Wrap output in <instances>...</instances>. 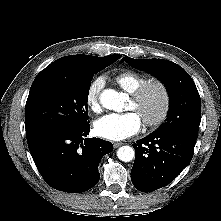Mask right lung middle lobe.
I'll return each mask as SVG.
<instances>
[{"instance_id": "right-lung-middle-lobe-1", "label": "right lung middle lobe", "mask_w": 221, "mask_h": 221, "mask_svg": "<svg viewBox=\"0 0 221 221\" xmlns=\"http://www.w3.org/2000/svg\"><path fill=\"white\" fill-rule=\"evenodd\" d=\"M120 57H96L81 71L48 66L42 70L32 83L25 106L27 139L48 130L89 124L87 100L93 75Z\"/></svg>"}]
</instances>
